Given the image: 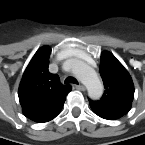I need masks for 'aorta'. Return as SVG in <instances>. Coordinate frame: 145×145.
I'll return each instance as SVG.
<instances>
[{
    "label": "aorta",
    "instance_id": "aorta-1",
    "mask_svg": "<svg viewBox=\"0 0 145 145\" xmlns=\"http://www.w3.org/2000/svg\"><path fill=\"white\" fill-rule=\"evenodd\" d=\"M72 71L86 86L90 98L99 99L102 96L103 84L91 66L82 61L74 60Z\"/></svg>",
    "mask_w": 145,
    "mask_h": 145
}]
</instances>
